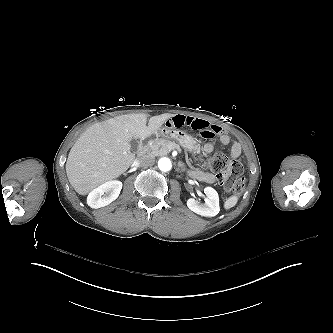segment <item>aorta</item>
<instances>
[{
	"instance_id": "aorta-1",
	"label": "aorta",
	"mask_w": 333,
	"mask_h": 333,
	"mask_svg": "<svg viewBox=\"0 0 333 333\" xmlns=\"http://www.w3.org/2000/svg\"><path fill=\"white\" fill-rule=\"evenodd\" d=\"M158 167L161 171L164 172L171 170L172 164L170 159L167 157L160 158L158 161Z\"/></svg>"
}]
</instances>
